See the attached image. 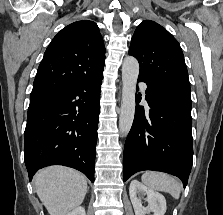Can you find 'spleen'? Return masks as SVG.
I'll use <instances>...</instances> for the list:
<instances>
[{"label":"spleen","mask_w":223,"mask_h":215,"mask_svg":"<svg viewBox=\"0 0 223 215\" xmlns=\"http://www.w3.org/2000/svg\"><path fill=\"white\" fill-rule=\"evenodd\" d=\"M142 181L151 189H158V191H169L173 197H180L182 183L175 179L173 175L168 173H161V171H145L142 175Z\"/></svg>","instance_id":"3e777b00"}]
</instances>
